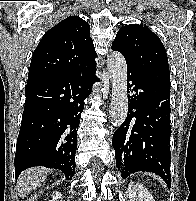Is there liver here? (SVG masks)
Here are the masks:
<instances>
[{
    "label": "liver",
    "mask_w": 196,
    "mask_h": 201,
    "mask_svg": "<svg viewBox=\"0 0 196 201\" xmlns=\"http://www.w3.org/2000/svg\"><path fill=\"white\" fill-rule=\"evenodd\" d=\"M47 178L45 168L33 167L22 172L17 181V189L21 197L36 189Z\"/></svg>",
    "instance_id": "6515ba94"
}]
</instances>
